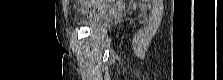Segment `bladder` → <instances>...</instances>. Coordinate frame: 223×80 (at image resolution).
Here are the masks:
<instances>
[{
	"mask_svg": "<svg viewBox=\"0 0 223 80\" xmlns=\"http://www.w3.org/2000/svg\"><path fill=\"white\" fill-rule=\"evenodd\" d=\"M110 22V17L107 15H95L83 22V26L87 27L91 31L100 30L108 26Z\"/></svg>",
	"mask_w": 223,
	"mask_h": 80,
	"instance_id": "1",
	"label": "bladder"
}]
</instances>
